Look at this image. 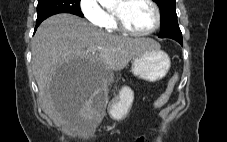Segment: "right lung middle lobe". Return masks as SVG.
Masks as SVG:
<instances>
[{"label":"right lung middle lobe","instance_id":"dd1d6c3e","mask_svg":"<svg viewBox=\"0 0 227 142\" xmlns=\"http://www.w3.org/2000/svg\"><path fill=\"white\" fill-rule=\"evenodd\" d=\"M58 13H71L83 17L80 0H38L37 21Z\"/></svg>","mask_w":227,"mask_h":142}]
</instances>
